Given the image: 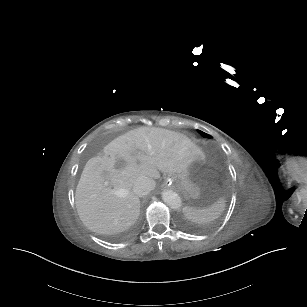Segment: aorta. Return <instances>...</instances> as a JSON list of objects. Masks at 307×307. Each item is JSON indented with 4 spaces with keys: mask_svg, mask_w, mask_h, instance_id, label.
<instances>
[{
    "mask_svg": "<svg viewBox=\"0 0 307 307\" xmlns=\"http://www.w3.org/2000/svg\"><path fill=\"white\" fill-rule=\"evenodd\" d=\"M162 199L172 208H179L181 205L180 197L173 190H164L162 192Z\"/></svg>",
    "mask_w": 307,
    "mask_h": 307,
    "instance_id": "762f6f07",
    "label": "aorta"
}]
</instances>
